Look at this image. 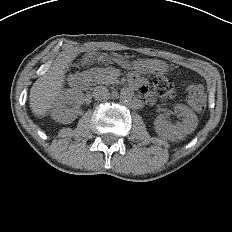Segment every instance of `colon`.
I'll list each match as a JSON object with an SVG mask.
<instances>
[{"label":"colon","instance_id":"5ec220e1","mask_svg":"<svg viewBox=\"0 0 232 232\" xmlns=\"http://www.w3.org/2000/svg\"><path fill=\"white\" fill-rule=\"evenodd\" d=\"M79 69L77 64H72L69 67V73L75 74ZM154 89L160 97H169L173 93V83L164 74L158 73L154 78ZM189 104L196 111H203L206 105V95L204 88L201 85H191L187 91Z\"/></svg>","mask_w":232,"mask_h":232}]
</instances>
